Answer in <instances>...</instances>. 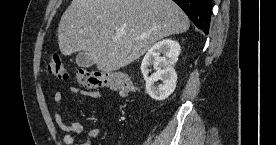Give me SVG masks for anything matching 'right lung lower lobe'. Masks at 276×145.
Returning <instances> with one entry per match:
<instances>
[{
  "mask_svg": "<svg viewBox=\"0 0 276 145\" xmlns=\"http://www.w3.org/2000/svg\"><path fill=\"white\" fill-rule=\"evenodd\" d=\"M193 21V23L208 34L211 17L212 0H173Z\"/></svg>",
  "mask_w": 276,
  "mask_h": 145,
  "instance_id": "1",
  "label": "right lung lower lobe"
}]
</instances>
